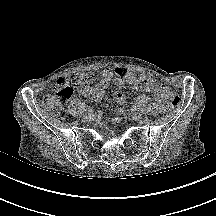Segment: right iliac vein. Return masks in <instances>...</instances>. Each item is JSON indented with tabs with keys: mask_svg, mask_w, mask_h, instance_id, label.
Wrapping results in <instances>:
<instances>
[{
	"mask_svg": "<svg viewBox=\"0 0 216 216\" xmlns=\"http://www.w3.org/2000/svg\"><path fill=\"white\" fill-rule=\"evenodd\" d=\"M83 121L84 122H89V121H91V114H85L84 116H83Z\"/></svg>",
	"mask_w": 216,
	"mask_h": 216,
	"instance_id": "1",
	"label": "right iliac vein"
}]
</instances>
